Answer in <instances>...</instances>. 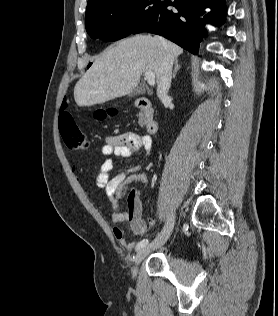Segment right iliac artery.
<instances>
[{
    "instance_id": "obj_1",
    "label": "right iliac artery",
    "mask_w": 278,
    "mask_h": 316,
    "mask_svg": "<svg viewBox=\"0 0 278 316\" xmlns=\"http://www.w3.org/2000/svg\"><path fill=\"white\" fill-rule=\"evenodd\" d=\"M148 243V239H143L142 241H140L137 246H136V250H140L141 248H143L144 246H146Z\"/></svg>"
}]
</instances>
